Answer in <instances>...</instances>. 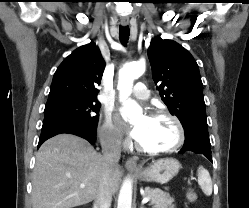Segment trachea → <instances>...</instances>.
Instances as JSON below:
<instances>
[{"label":"trachea","instance_id":"1","mask_svg":"<svg viewBox=\"0 0 249 208\" xmlns=\"http://www.w3.org/2000/svg\"><path fill=\"white\" fill-rule=\"evenodd\" d=\"M129 35H130V30L128 26H120L119 28V38L120 41L125 45L128 42L129 39Z\"/></svg>","mask_w":249,"mask_h":208}]
</instances>
